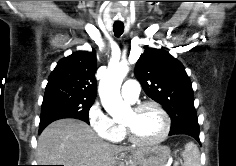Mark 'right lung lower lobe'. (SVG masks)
<instances>
[{
  "label": "right lung lower lobe",
  "mask_w": 236,
  "mask_h": 166,
  "mask_svg": "<svg viewBox=\"0 0 236 166\" xmlns=\"http://www.w3.org/2000/svg\"><path fill=\"white\" fill-rule=\"evenodd\" d=\"M46 126L39 127V133L45 128Z\"/></svg>",
  "instance_id": "1"
}]
</instances>
